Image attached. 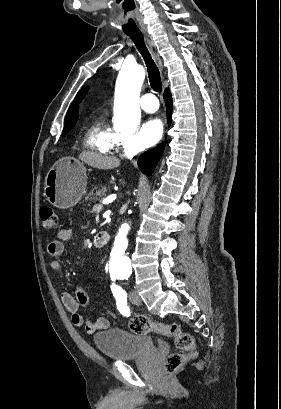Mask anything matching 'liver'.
Wrapping results in <instances>:
<instances>
[{"instance_id": "liver-1", "label": "liver", "mask_w": 281, "mask_h": 409, "mask_svg": "<svg viewBox=\"0 0 281 409\" xmlns=\"http://www.w3.org/2000/svg\"><path fill=\"white\" fill-rule=\"evenodd\" d=\"M80 160L89 164V166H94V168H103V170H107V168H115V166H119L120 160L117 156H107V154H100V152H96V150H83L79 154Z\"/></svg>"}]
</instances>
